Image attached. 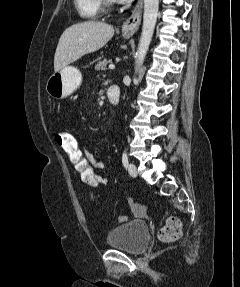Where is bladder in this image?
<instances>
[{"label": "bladder", "mask_w": 240, "mask_h": 287, "mask_svg": "<svg viewBox=\"0 0 240 287\" xmlns=\"http://www.w3.org/2000/svg\"><path fill=\"white\" fill-rule=\"evenodd\" d=\"M150 228L143 220H131L109 231L106 244L130 254H140L147 248Z\"/></svg>", "instance_id": "31cf9c89"}]
</instances>
